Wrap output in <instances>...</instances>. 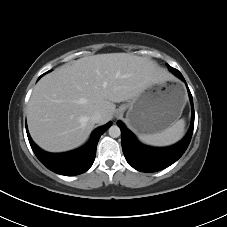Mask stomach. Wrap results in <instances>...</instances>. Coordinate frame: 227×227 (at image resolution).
I'll use <instances>...</instances> for the list:
<instances>
[{
	"mask_svg": "<svg viewBox=\"0 0 227 227\" xmlns=\"http://www.w3.org/2000/svg\"><path fill=\"white\" fill-rule=\"evenodd\" d=\"M186 95L179 84L157 83L120 107L126 124L138 134H154L172 126L181 116Z\"/></svg>",
	"mask_w": 227,
	"mask_h": 227,
	"instance_id": "1",
	"label": "stomach"
}]
</instances>
